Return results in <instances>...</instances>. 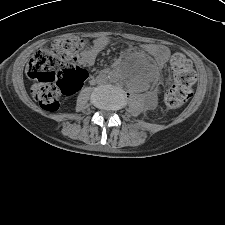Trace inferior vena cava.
<instances>
[{"instance_id": "inferior-vena-cava-1", "label": "inferior vena cava", "mask_w": 225, "mask_h": 225, "mask_svg": "<svg viewBox=\"0 0 225 225\" xmlns=\"http://www.w3.org/2000/svg\"><path fill=\"white\" fill-rule=\"evenodd\" d=\"M106 81V78L98 77L97 82L98 83H104Z\"/></svg>"}]
</instances>
